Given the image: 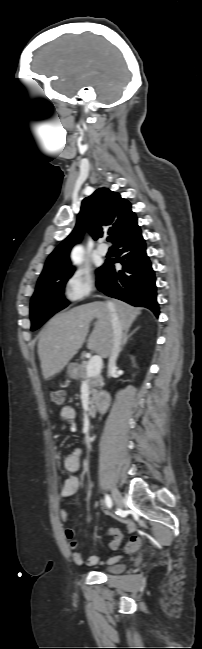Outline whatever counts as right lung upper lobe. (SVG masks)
<instances>
[{
	"instance_id": "obj_1",
	"label": "right lung upper lobe",
	"mask_w": 202,
	"mask_h": 649,
	"mask_svg": "<svg viewBox=\"0 0 202 649\" xmlns=\"http://www.w3.org/2000/svg\"><path fill=\"white\" fill-rule=\"evenodd\" d=\"M137 229V217L132 212L129 201L107 188L96 190L91 196L83 199L73 231L49 255L40 278L72 269L70 250L74 244L80 242L85 230L95 240L108 234L115 243Z\"/></svg>"
}]
</instances>
